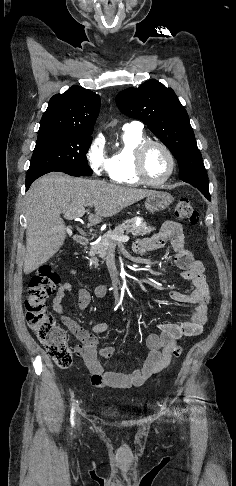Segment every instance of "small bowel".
I'll list each match as a JSON object with an SVG mask.
<instances>
[{
    "label": "small bowel",
    "mask_w": 236,
    "mask_h": 486,
    "mask_svg": "<svg viewBox=\"0 0 236 486\" xmlns=\"http://www.w3.org/2000/svg\"><path fill=\"white\" fill-rule=\"evenodd\" d=\"M169 242L176 251L175 263L181 276L191 281L193 286L190 293L177 290L170 292V298L178 303L192 304L194 309L189 320L180 323H162L159 326L158 333H152L147 337L146 346L149 353L142 365L131 373L104 368L101 359L110 358L114 353V348L107 346L98 352V335L109 330V323L96 322L89 330L83 328L65 314L63 300L71 291V284L63 282L59 286L52 302V309L59 316L63 325L80 341V345L75 346V352L87 366L93 386L120 389L139 387L146 379L170 364L172 352L178 339L183 336H197L202 332L207 322L209 288L204 275V265L184 248L182 226L175 221H165L154 235L136 240L133 244V250L137 254H145L162 248ZM69 274L73 275L75 271L70 270ZM107 293L108 287L105 285L98 286L93 291V295L96 297H103ZM91 299L90 290L85 287L81 288L78 292L79 309L85 310Z\"/></svg>",
    "instance_id": "small-bowel-1"
}]
</instances>
